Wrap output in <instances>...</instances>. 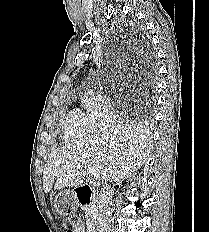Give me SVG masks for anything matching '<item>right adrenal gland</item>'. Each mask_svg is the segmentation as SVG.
Segmentation results:
<instances>
[{
  "label": "right adrenal gland",
  "instance_id": "right-adrenal-gland-1",
  "mask_svg": "<svg viewBox=\"0 0 209 232\" xmlns=\"http://www.w3.org/2000/svg\"><path fill=\"white\" fill-rule=\"evenodd\" d=\"M131 177V174H128L126 175V177H124L123 179H121L120 181H117L115 184H114V188H113V191L116 189V187L118 185H120L122 183V181L126 178V179H129Z\"/></svg>",
  "mask_w": 209,
  "mask_h": 232
}]
</instances>
